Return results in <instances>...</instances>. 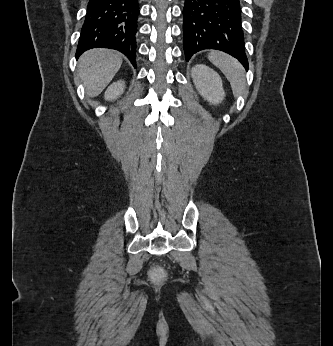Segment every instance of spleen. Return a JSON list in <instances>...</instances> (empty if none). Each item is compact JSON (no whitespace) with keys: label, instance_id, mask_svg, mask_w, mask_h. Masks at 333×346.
<instances>
[{"label":"spleen","instance_id":"obj_1","mask_svg":"<svg viewBox=\"0 0 333 346\" xmlns=\"http://www.w3.org/2000/svg\"><path fill=\"white\" fill-rule=\"evenodd\" d=\"M208 58L229 80L233 94L235 96L242 95L246 86L242 65L233 57L222 52L213 51L209 53Z\"/></svg>","mask_w":333,"mask_h":346}]
</instances>
